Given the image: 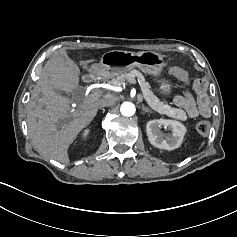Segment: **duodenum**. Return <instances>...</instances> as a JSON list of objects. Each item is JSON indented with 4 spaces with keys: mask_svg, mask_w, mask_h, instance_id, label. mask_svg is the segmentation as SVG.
Here are the masks:
<instances>
[{
    "mask_svg": "<svg viewBox=\"0 0 237 237\" xmlns=\"http://www.w3.org/2000/svg\"><path fill=\"white\" fill-rule=\"evenodd\" d=\"M97 74L96 70H91L85 75L86 80H91Z\"/></svg>",
    "mask_w": 237,
    "mask_h": 237,
    "instance_id": "1",
    "label": "duodenum"
}]
</instances>
